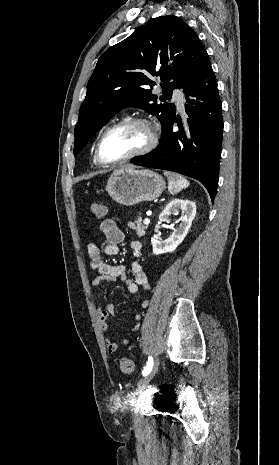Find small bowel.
Wrapping results in <instances>:
<instances>
[{
  "mask_svg": "<svg viewBox=\"0 0 279 465\" xmlns=\"http://www.w3.org/2000/svg\"><path fill=\"white\" fill-rule=\"evenodd\" d=\"M100 230L106 237V244L103 248V252L106 255L112 256L117 255L119 252V244L124 239L123 232L117 227L113 220L107 219L101 222ZM132 254L135 258L141 255L142 245L139 241L134 240L130 243ZM87 252L91 260V266L95 270L92 279V285L98 290L102 291L108 285L114 284L119 280H124L128 292L135 294L140 288L149 290L150 284L148 281L147 274L145 273L142 265L138 260L131 262L129 267L125 264L109 265L102 261L101 250L94 242L87 244ZM130 269L133 273V279H126V271ZM142 306L145 308L148 306V301L144 300ZM114 313V305L106 303L99 307L97 310V317L99 325L103 331L107 330V320ZM135 319L137 323L133 326V331L140 328L141 315L136 314ZM123 344H127L128 340L123 339ZM105 345L107 352L113 354L118 349V343L113 341L111 338H105Z\"/></svg>",
  "mask_w": 279,
  "mask_h": 465,
  "instance_id": "small-bowel-1",
  "label": "small bowel"
}]
</instances>
